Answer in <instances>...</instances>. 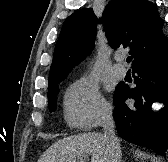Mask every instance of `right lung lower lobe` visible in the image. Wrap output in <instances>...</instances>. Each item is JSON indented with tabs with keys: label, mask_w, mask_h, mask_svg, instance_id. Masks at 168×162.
I'll list each match as a JSON object with an SVG mask.
<instances>
[{
	"label": "right lung lower lobe",
	"mask_w": 168,
	"mask_h": 162,
	"mask_svg": "<svg viewBox=\"0 0 168 162\" xmlns=\"http://www.w3.org/2000/svg\"><path fill=\"white\" fill-rule=\"evenodd\" d=\"M135 88L118 84L114 98V120L121 138L147 147L157 154L168 148V46L133 65ZM132 98L133 105L125 100ZM161 100L165 107L159 114L151 108Z\"/></svg>",
	"instance_id": "right-lung-lower-lobe-1"
}]
</instances>
